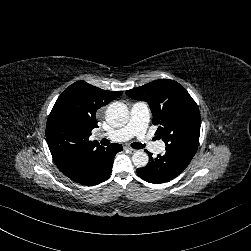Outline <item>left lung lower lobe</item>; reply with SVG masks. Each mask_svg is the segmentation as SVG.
<instances>
[{
    "label": "left lung lower lobe",
    "mask_w": 251,
    "mask_h": 251,
    "mask_svg": "<svg viewBox=\"0 0 251 251\" xmlns=\"http://www.w3.org/2000/svg\"><path fill=\"white\" fill-rule=\"evenodd\" d=\"M149 155V163L137 169V174L149 183H164L172 180L188 166L192 160V154L186 153L177 149H166L164 155H158L157 158H152Z\"/></svg>",
    "instance_id": "1"
}]
</instances>
